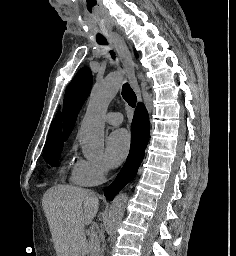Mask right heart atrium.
<instances>
[{"label": "right heart atrium", "instance_id": "obj_1", "mask_svg": "<svg viewBox=\"0 0 236 256\" xmlns=\"http://www.w3.org/2000/svg\"><path fill=\"white\" fill-rule=\"evenodd\" d=\"M110 171V165L105 158L96 160L88 157H75L71 171L70 182L81 187H95L104 183Z\"/></svg>", "mask_w": 236, "mask_h": 256}]
</instances>
